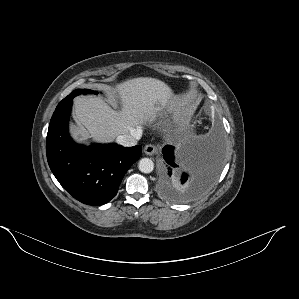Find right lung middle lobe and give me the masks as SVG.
<instances>
[{
    "label": "right lung middle lobe",
    "mask_w": 299,
    "mask_h": 299,
    "mask_svg": "<svg viewBox=\"0 0 299 299\" xmlns=\"http://www.w3.org/2000/svg\"><path fill=\"white\" fill-rule=\"evenodd\" d=\"M95 93L97 94V92L95 91H91L89 89H78V90H74L71 94H69L65 99H63L60 103H64L66 102L68 99H71V98H74L75 96L77 95H80V94H87V93Z\"/></svg>",
    "instance_id": "dd1d6c3e"
}]
</instances>
